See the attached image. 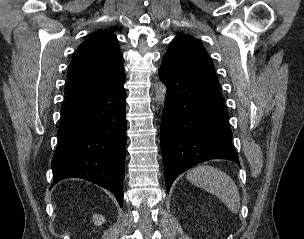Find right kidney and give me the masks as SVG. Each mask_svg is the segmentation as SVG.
I'll return each instance as SVG.
<instances>
[{
	"instance_id": "ca27d5eb",
	"label": "right kidney",
	"mask_w": 304,
	"mask_h": 239,
	"mask_svg": "<svg viewBox=\"0 0 304 239\" xmlns=\"http://www.w3.org/2000/svg\"><path fill=\"white\" fill-rule=\"evenodd\" d=\"M97 219L99 224H101L104 221V218L102 216H99Z\"/></svg>"
}]
</instances>
